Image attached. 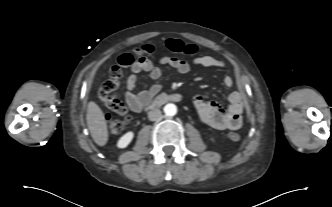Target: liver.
Listing matches in <instances>:
<instances>
[{
    "instance_id": "liver-1",
    "label": "liver",
    "mask_w": 332,
    "mask_h": 207,
    "mask_svg": "<svg viewBox=\"0 0 332 207\" xmlns=\"http://www.w3.org/2000/svg\"><path fill=\"white\" fill-rule=\"evenodd\" d=\"M86 121L94 142L104 146L108 141L107 122L101 108L93 101L87 106Z\"/></svg>"
}]
</instances>
